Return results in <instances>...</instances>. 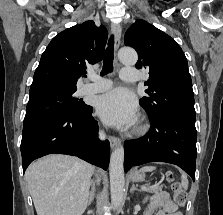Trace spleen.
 <instances>
[{"mask_svg":"<svg viewBox=\"0 0 223 215\" xmlns=\"http://www.w3.org/2000/svg\"><path fill=\"white\" fill-rule=\"evenodd\" d=\"M153 169H156V167H154V165H145V167H141L140 171H153ZM181 183H182L184 189H187L188 179H187L186 173H182Z\"/></svg>","mask_w":223,"mask_h":215,"instance_id":"obj_1","label":"spleen"}]
</instances>
